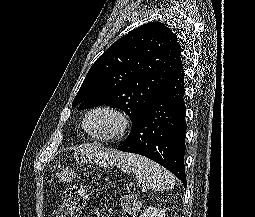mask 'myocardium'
Returning a JSON list of instances; mask_svg holds the SVG:
<instances>
[{
  "label": "myocardium",
  "mask_w": 255,
  "mask_h": 217,
  "mask_svg": "<svg viewBox=\"0 0 255 217\" xmlns=\"http://www.w3.org/2000/svg\"><path fill=\"white\" fill-rule=\"evenodd\" d=\"M97 112H105V113L112 115L116 119V122H117L115 129L109 133L98 134V135L92 134L91 132H89L88 129L86 128V121L90 115L97 113ZM130 123H131L130 117L126 111H124L122 108H120L116 105L105 103V104L96 105V106L90 108L89 110H87V112L83 116L81 126H82L83 131L89 137H91L95 140L113 141V140H116V139L122 137L126 133V131L130 127Z\"/></svg>",
  "instance_id": "1"
}]
</instances>
